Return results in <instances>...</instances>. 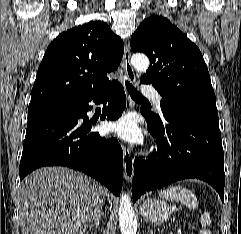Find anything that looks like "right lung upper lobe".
I'll use <instances>...</instances> for the list:
<instances>
[{
  "instance_id": "right-lung-upper-lobe-1",
  "label": "right lung upper lobe",
  "mask_w": 241,
  "mask_h": 234,
  "mask_svg": "<svg viewBox=\"0 0 241 234\" xmlns=\"http://www.w3.org/2000/svg\"><path fill=\"white\" fill-rule=\"evenodd\" d=\"M124 45L110 27L92 21L64 31L49 45L39 66L29 105L88 101L113 83Z\"/></svg>"
}]
</instances>
